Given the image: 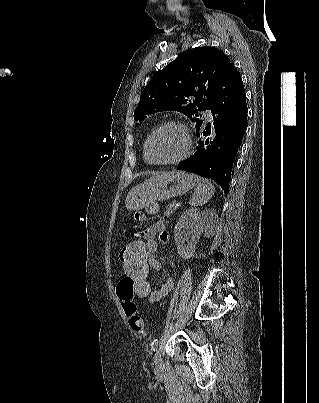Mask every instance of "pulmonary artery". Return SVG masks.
Wrapping results in <instances>:
<instances>
[{"label": "pulmonary artery", "mask_w": 319, "mask_h": 403, "mask_svg": "<svg viewBox=\"0 0 319 403\" xmlns=\"http://www.w3.org/2000/svg\"><path fill=\"white\" fill-rule=\"evenodd\" d=\"M206 120L211 122L212 121V115L209 111L206 112Z\"/></svg>", "instance_id": "obj_1"}]
</instances>
